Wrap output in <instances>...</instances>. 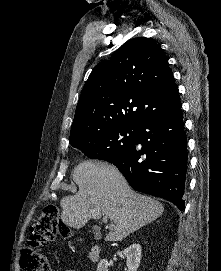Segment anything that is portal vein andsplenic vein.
I'll return each mask as SVG.
<instances>
[{"instance_id":"portal-vein-and-splenic-vein-1","label":"portal vein and splenic vein","mask_w":221,"mask_h":271,"mask_svg":"<svg viewBox=\"0 0 221 271\" xmlns=\"http://www.w3.org/2000/svg\"><path fill=\"white\" fill-rule=\"evenodd\" d=\"M103 221H104V223H107V221H108V215H104Z\"/></svg>"}]
</instances>
